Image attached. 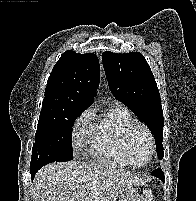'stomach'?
I'll return each mask as SVG.
<instances>
[{
  "instance_id": "stomach-1",
  "label": "stomach",
  "mask_w": 196,
  "mask_h": 201,
  "mask_svg": "<svg viewBox=\"0 0 196 201\" xmlns=\"http://www.w3.org/2000/svg\"><path fill=\"white\" fill-rule=\"evenodd\" d=\"M118 201H138L137 189L133 185H126L121 189Z\"/></svg>"
}]
</instances>
